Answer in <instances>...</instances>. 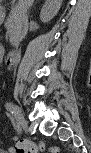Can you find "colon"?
Wrapping results in <instances>:
<instances>
[{"label":"colon","instance_id":"5ec220e1","mask_svg":"<svg viewBox=\"0 0 91 153\" xmlns=\"http://www.w3.org/2000/svg\"><path fill=\"white\" fill-rule=\"evenodd\" d=\"M14 153H38L45 150V146L41 142L19 140L14 146ZM53 152H57L56 148L52 149Z\"/></svg>","mask_w":91,"mask_h":153}]
</instances>
